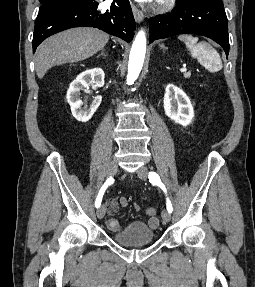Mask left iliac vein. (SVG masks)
I'll list each match as a JSON object with an SVG mask.
<instances>
[{"label": "left iliac vein", "instance_id": "4c4485c4", "mask_svg": "<svg viewBox=\"0 0 255 287\" xmlns=\"http://www.w3.org/2000/svg\"><path fill=\"white\" fill-rule=\"evenodd\" d=\"M137 175L140 179L142 180H147L148 179V169L145 166H142L138 169ZM162 219L164 222H169L171 220V214L168 210L164 209L162 210Z\"/></svg>", "mask_w": 255, "mask_h": 287}]
</instances>
